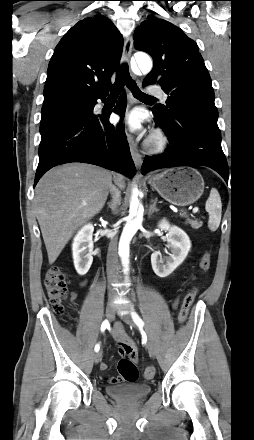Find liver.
Listing matches in <instances>:
<instances>
[{
  "instance_id": "obj_1",
  "label": "liver",
  "mask_w": 254,
  "mask_h": 440,
  "mask_svg": "<svg viewBox=\"0 0 254 440\" xmlns=\"http://www.w3.org/2000/svg\"><path fill=\"white\" fill-rule=\"evenodd\" d=\"M125 187L123 176L114 175ZM112 173L84 163H70L49 170L35 189V213L53 264L73 233L103 208Z\"/></svg>"
}]
</instances>
